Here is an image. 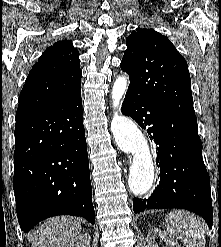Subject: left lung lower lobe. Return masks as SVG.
Returning a JSON list of instances; mask_svg holds the SVG:
<instances>
[{"mask_svg":"<svg viewBox=\"0 0 221 247\" xmlns=\"http://www.w3.org/2000/svg\"><path fill=\"white\" fill-rule=\"evenodd\" d=\"M121 112L133 118L156 144L158 186L148 199H133L135 213L180 208L204 218L212 228L210 177L202 159L197 119L126 92Z\"/></svg>","mask_w":221,"mask_h":247,"instance_id":"obj_1","label":"left lung lower lobe"}]
</instances>
